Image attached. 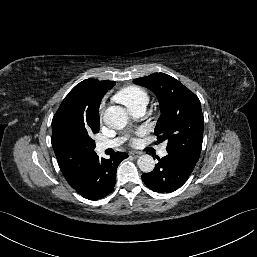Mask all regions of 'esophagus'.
<instances>
[{"label": "esophagus", "mask_w": 257, "mask_h": 257, "mask_svg": "<svg viewBox=\"0 0 257 257\" xmlns=\"http://www.w3.org/2000/svg\"><path fill=\"white\" fill-rule=\"evenodd\" d=\"M129 154H130V156H133L134 158H137L141 155V153L137 152V151H131Z\"/></svg>", "instance_id": "obj_1"}]
</instances>
